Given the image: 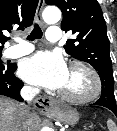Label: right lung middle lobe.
Masks as SVG:
<instances>
[{"label": "right lung middle lobe", "mask_w": 117, "mask_h": 131, "mask_svg": "<svg viewBox=\"0 0 117 131\" xmlns=\"http://www.w3.org/2000/svg\"><path fill=\"white\" fill-rule=\"evenodd\" d=\"M2 55V52H0V57ZM6 66L2 63V61L0 60V70H5Z\"/></svg>", "instance_id": "right-lung-middle-lobe-1"}]
</instances>
